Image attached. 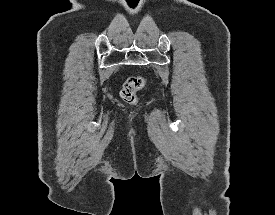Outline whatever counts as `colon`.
Listing matches in <instances>:
<instances>
[{"mask_svg":"<svg viewBox=\"0 0 275 215\" xmlns=\"http://www.w3.org/2000/svg\"><path fill=\"white\" fill-rule=\"evenodd\" d=\"M145 86V79L142 76L128 77L120 91V96L123 101L133 104L137 100V92L142 90Z\"/></svg>","mask_w":275,"mask_h":215,"instance_id":"colon-1","label":"colon"}]
</instances>
